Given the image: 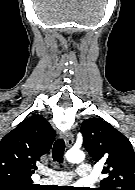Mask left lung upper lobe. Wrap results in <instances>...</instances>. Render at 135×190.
I'll list each match as a JSON object with an SVG mask.
<instances>
[{
	"instance_id": "1",
	"label": "left lung upper lobe",
	"mask_w": 135,
	"mask_h": 190,
	"mask_svg": "<svg viewBox=\"0 0 135 190\" xmlns=\"http://www.w3.org/2000/svg\"><path fill=\"white\" fill-rule=\"evenodd\" d=\"M80 132L92 159L105 163L106 177L98 190H135V152L130 141L100 118L83 121Z\"/></svg>"
}]
</instances>
